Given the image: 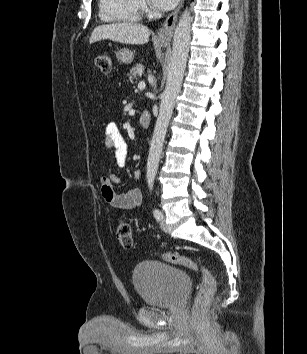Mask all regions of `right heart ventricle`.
I'll return each mask as SVG.
<instances>
[{
  "label": "right heart ventricle",
  "instance_id": "obj_1",
  "mask_svg": "<svg viewBox=\"0 0 307 354\" xmlns=\"http://www.w3.org/2000/svg\"><path fill=\"white\" fill-rule=\"evenodd\" d=\"M99 16L105 22H137L141 18L139 0H99Z\"/></svg>",
  "mask_w": 307,
  "mask_h": 354
}]
</instances>
